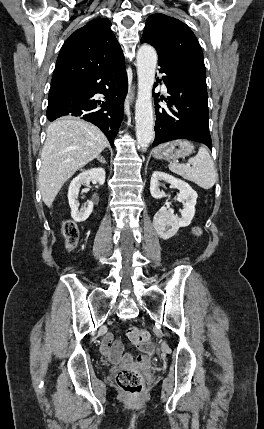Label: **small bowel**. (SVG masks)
<instances>
[{
    "label": "small bowel",
    "instance_id": "1",
    "mask_svg": "<svg viewBox=\"0 0 264 429\" xmlns=\"http://www.w3.org/2000/svg\"><path fill=\"white\" fill-rule=\"evenodd\" d=\"M142 354L149 355L153 351V346L147 343L140 346ZM100 351L103 355L110 358L115 362H122L124 364H130L133 360L132 356L128 353L123 354V344L120 341H113V335L111 333L106 334L101 342Z\"/></svg>",
    "mask_w": 264,
    "mask_h": 429
}]
</instances>
